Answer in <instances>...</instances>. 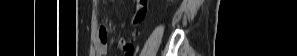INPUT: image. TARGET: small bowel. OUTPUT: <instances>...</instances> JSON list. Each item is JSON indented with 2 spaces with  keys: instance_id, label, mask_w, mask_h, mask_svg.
Segmentation results:
<instances>
[{
  "instance_id": "small-bowel-1",
  "label": "small bowel",
  "mask_w": 297,
  "mask_h": 56,
  "mask_svg": "<svg viewBox=\"0 0 297 56\" xmlns=\"http://www.w3.org/2000/svg\"><path fill=\"white\" fill-rule=\"evenodd\" d=\"M120 46L124 48L126 56H133V47L128 44L127 41H120ZM108 51V45L106 39L100 37L96 47V53L98 56L106 55Z\"/></svg>"
}]
</instances>
